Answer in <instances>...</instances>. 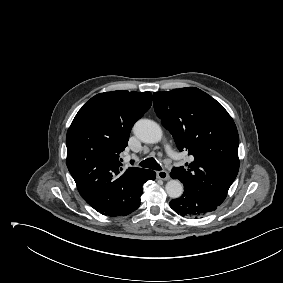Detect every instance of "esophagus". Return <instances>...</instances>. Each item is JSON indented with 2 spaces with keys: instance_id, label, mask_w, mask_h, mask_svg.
<instances>
[{
  "instance_id": "esophagus-1",
  "label": "esophagus",
  "mask_w": 283,
  "mask_h": 283,
  "mask_svg": "<svg viewBox=\"0 0 283 283\" xmlns=\"http://www.w3.org/2000/svg\"><path fill=\"white\" fill-rule=\"evenodd\" d=\"M157 178H159L161 180H169L170 176H169V173L167 171L162 170V171L157 172Z\"/></svg>"
}]
</instances>
